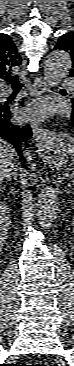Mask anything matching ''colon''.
I'll return each instance as SVG.
<instances>
[{"mask_svg":"<svg viewBox=\"0 0 74 366\" xmlns=\"http://www.w3.org/2000/svg\"><path fill=\"white\" fill-rule=\"evenodd\" d=\"M28 366H45V365L42 364V363H35V364H32V365H28Z\"/></svg>","mask_w":74,"mask_h":366,"instance_id":"5ec220e1","label":"colon"}]
</instances>
